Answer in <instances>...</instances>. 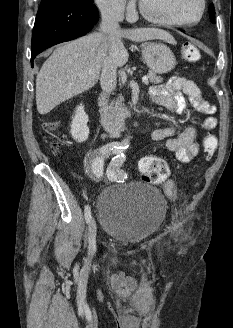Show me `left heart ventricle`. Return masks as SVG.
Wrapping results in <instances>:
<instances>
[{
	"label": "left heart ventricle",
	"mask_w": 233,
	"mask_h": 328,
	"mask_svg": "<svg viewBox=\"0 0 233 328\" xmlns=\"http://www.w3.org/2000/svg\"><path fill=\"white\" fill-rule=\"evenodd\" d=\"M153 15L177 21H193L200 12L199 0H141Z\"/></svg>",
	"instance_id": "obj_1"
}]
</instances>
